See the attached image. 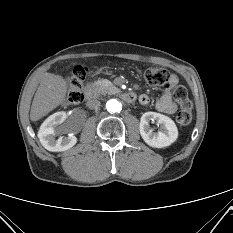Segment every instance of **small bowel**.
<instances>
[{
    "label": "small bowel",
    "instance_id": "1",
    "mask_svg": "<svg viewBox=\"0 0 233 233\" xmlns=\"http://www.w3.org/2000/svg\"><path fill=\"white\" fill-rule=\"evenodd\" d=\"M169 82L170 85H176L179 82V78L177 75L173 74L170 76ZM140 102L142 104H147L149 102L148 96L144 94L141 95ZM156 108L166 114H173L176 111L177 105L168 90L157 100Z\"/></svg>",
    "mask_w": 233,
    "mask_h": 233
}]
</instances>
